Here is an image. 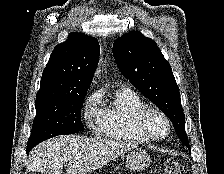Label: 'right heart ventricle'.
<instances>
[{
    "label": "right heart ventricle",
    "mask_w": 224,
    "mask_h": 174,
    "mask_svg": "<svg viewBox=\"0 0 224 174\" xmlns=\"http://www.w3.org/2000/svg\"><path fill=\"white\" fill-rule=\"evenodd\" d=\"M145 107L131 89L120 88L101 108L98 132L105 138L131 143L149 142L136 127L137 113Z\"/></svg>",
    "instance_id": "1"
}]
</instances>
